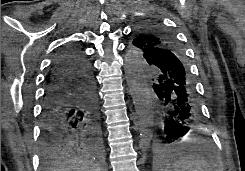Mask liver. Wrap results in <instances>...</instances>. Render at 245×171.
Segmentation results:
<instances>
[{"mask_svg": "<svg viewBox=\"0 0 245 171\" xmlns=\"http://www.w3.org/2000/svg\"><path fill=\"white\" fill-rule=\"evenodd\" d=\"M46 171H102L100 166L88 159L73 156L51 164Z\"/></svg>", "mask_w": 245, "mask_h": 171, "instance_id": "obj_1", "label": "liver"}]
</instances>
